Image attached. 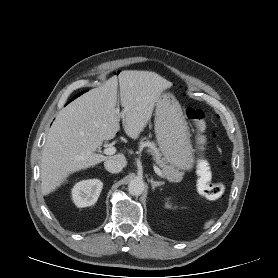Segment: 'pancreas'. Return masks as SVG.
Returning a JSON list of instances; mask_svg holds the SVG:
<instances>
[{"instance_id": "cf45deb5", "label": "pancreas", "mask_w": 278, "mask_h": 278, "mask_svg": "<svg viewBox=\"0 0 278 278\" xmlns=\"http://www.w3.org/2000/svg\"><path fill=\"white\" fill-rule=\"evenodd\" d=\"M147 148V151L150 152L157 164L161 168V172L164 176L172 182H180L183 179V172L175 168L173 165H169L165 158H162L159 149L156 147L154 142L149 141L147 138H141L139 142V150Z\"/></svg>"}]
</instances>
